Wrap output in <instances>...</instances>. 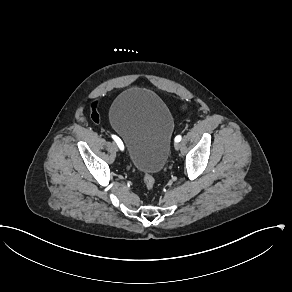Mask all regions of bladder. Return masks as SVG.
<instances>
[{
  "label": "bladder",
  "instance_id": "obj_1",
  "mask_svg": "<svg viewBox=\"0 0 292 292\" xmlns=\"http://www.w3.org/2000/svg\"><path fill=\"white\" fill-rule=\"evenodd\" d=\"M113 129L122 137L130 163L140 172H160L167 161L174 119L166 103L153 91L129 88L113 102Z\"/></svg>",
  "mask_w": 292,
  "mask_h": 292
}]
</instances>
